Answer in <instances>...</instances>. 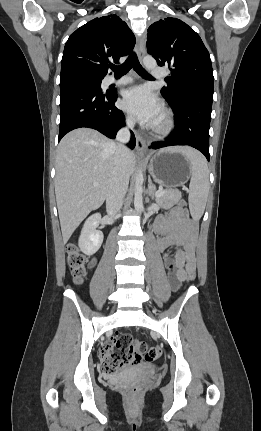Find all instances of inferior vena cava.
<instances>
[{"mask_svg":"<svg viewBox=\"0 0 261 431\" xmlns=\"http://www.w3.org/2000/svg\"><path fill=\"white\" fill-rule=\"evenodd\" d=\"M133 127L134 121L130 118L127 119V127L120 129L116 136L119 143L115 149L113 178L106 197V210L112 218L120 211L128 189L129 176L126 170V156L129 149L125 143L129 142V129H133Z\"/></svg>","mask_w":261,"mask_h":431,"instance_id":"602c4592","label":"inferior vena cava"}]
</instances>
